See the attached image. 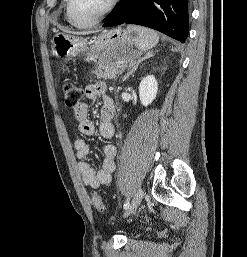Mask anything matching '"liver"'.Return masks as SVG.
Wrapping results in <instances>:
<instances>
[{"instance_id":"1","label":"liver","mask_w":247,"mask_h":257,"mask_svg":"<svg viewBox=\"0 0 247 257\" xmlns=\"http://www.w3.org/2000/svg\"><path fill=\"white\" fill-rule=\"evenodd\" d=\"M65 32H68V33H72V34H77V35H86V34H89L91 32H87V31H84V32H70V31H67V30H63Z\"/></svg>"}]
</instances>
